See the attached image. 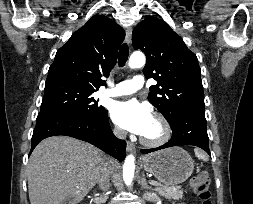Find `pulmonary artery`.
<instances>
[{"instance_id":"pulmonary-artery-1","label":"pulmonary artery","mask_w":253,"mask_h":204,"mask_svg":"<svg viewBox=\"0 0 253 204\" xmlns=\"http://www.w3.org/2000/svg\"><path fill=\"white\" fill-rule=\"evenodd\" d=\"M144 83V77L141 74H137L132 79L116 84L113 89L106 90L104 94L111 97L131 95L139 90Z\"/></svg>"}]
</instances>
